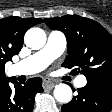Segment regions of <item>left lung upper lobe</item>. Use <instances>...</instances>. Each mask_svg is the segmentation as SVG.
Wrapping results in <instances>:
<instances>
[{
	"mask_svg": "<svg viewBox=\"0 0 112 112\" xmlns=\"http://www.w3.org/2000/svg\"><path fill=\"white\" fill-rule=\"evenodd\" d=\"M52 30L67 39L68 56L62 64L83 73L87 82L112 84V36L98 22L78 15L45 18Z\"/></svg>",
	"mask_w": 112,
	"mask_h": 112,
	"instance_id": "obj_1",
	"label": "left lung upper lobe"
}]
</instances>
